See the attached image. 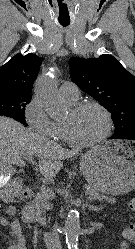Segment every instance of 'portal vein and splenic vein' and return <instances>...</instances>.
Segmentation results:
<instances>
[{
    "mask_svg": "<svg viewBox=\"0 0 135 249\" xmlns=\"http://www.w3.org/2000/svg\"><path fill=\"white\" fill-rule=\"evenodd\" d=\"M29 162H32V157L26 158ZM45 187H41V189H44ZM49 196H51L52 198H54V193H49Z\"/></svg>",
    "mask_w": 135,
    "mask_h": 249,
    "instance_id": "18ae733b",
    "label": "portal vein and splenic vein"
}]
</instances>
